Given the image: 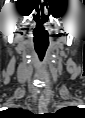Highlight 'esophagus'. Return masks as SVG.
I'll return each mask as SVG.
<instances>
[{
	"label": "esophagus",
	"instance_id": "esophagus-1",
	"mask_svg": "<svg viewBox=\"0 0 85 118\" xmlns=\"http://www.w3.org/2000/svg\"><path fill=\"white\" fill-rule=\"evenodd\" d=\"M42 100L40 101V103H39V110L40 111H47V105H46V102L44 101V97H43V95H42Z\"/></svg>",
	"mask_w": 85,
	"mask_h": 118
}]
</instances>
